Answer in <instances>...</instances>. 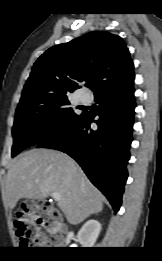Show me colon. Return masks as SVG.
I'll use <instances>...</instances> for the list:
<instances>
[{
  "label": "colon",
  "instance_id": "1",
  "mask_svg": "<svg viewBox=\"0 0 162 261\" xmlns=\"http://www.w3.org/2000/svg\"><path fill=\"white\" fill-rule=\"evenodd\" d=\"M60 213L48 200H38L26 203L16 214L15 228L24 248H46L50 246V237L41 231H47L57 236Z\"/></svg>",
  "mask_w": 162,
  "mask_h": 261
}]
</instances>
